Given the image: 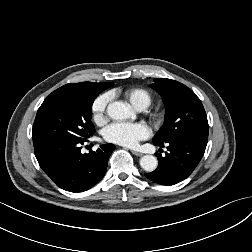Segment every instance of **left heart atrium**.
Here are the masks:
<instances>
[{"label": "left heart atrium", "mask_w": 252, "mask_h": 252, "mask_svg": "<svg viewBox=\"0 0 252 252\" xmlns=\"http://www.w3.org/2000/svg\"><path fill=\"white\" fill-rule=\"evenodd\" d=\"M150 135L149 128L143 123L116 122L104 130V138L108 142L133 147Z\"/></svg>", "instance_id": "obj_1"}]
</instances>
